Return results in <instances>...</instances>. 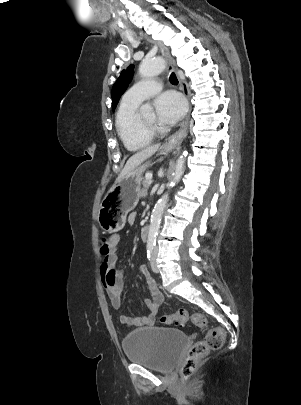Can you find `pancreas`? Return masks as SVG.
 <instances>
[{
	"label": "pancreas",
	"mask_w": 301,
	"mask_h": 405,
	"mask_svg": "<svg viewBox=\"0 0 301 405\" xmlns=\"http://www.w3.org/2000/svg\"><path fill=\"white\" fill-rule=\"evenodd\" d=\"M149 186H150V181L147 178H145L143 180V187L141 189V197H145L147 195Z\"/></svg>",
	"instance_id": "cf45deb5"
}]
</instances>
